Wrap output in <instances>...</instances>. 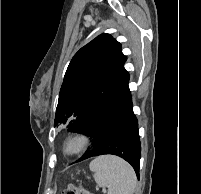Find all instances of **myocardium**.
<instances>
[{
    "instance_id": "f54148a6",
    "label": "myocardium",
    "mask_w": 201,
    "mask_h": 194,
    "mask_svg": "<svg viewBox=\"0 0 201 194\" xmlns=\"http://www.w3.org/2000/svg\"><path fill=\"white\" fill-rule=\"evenodd\" d=\"M91 137L86 132H75L68 135L62 144V152L67 157L83 154L90 146Z\"/></svg>"
}]
</instances>
